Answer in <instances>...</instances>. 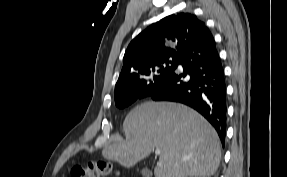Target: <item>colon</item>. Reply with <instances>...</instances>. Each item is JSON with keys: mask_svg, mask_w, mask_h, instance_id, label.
Returning <instances> with one entry per match:
<instances>
[{"mask_svg": "<svg viewBox=\"0 0 287 177\" xmlns=\"http://www.w3.org/2000/svg\"><path fill=\"white\" fill-rule=\"evenodd\" d=\"M118 175L111 163L104 161L91 162L86 167L73 168L71 177H108Z\"/></svg>", "mask_w": 287, "mask_h": 177, "instance_id": "obj_1", "label": "colon"}]
</instances>
